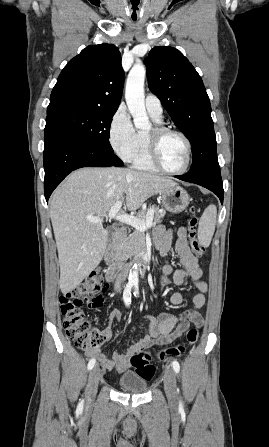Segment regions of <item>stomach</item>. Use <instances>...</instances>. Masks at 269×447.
Here are the masks:
<instances>
[{
	"instance_id": "1",
	"label": "stomach",
	"mask_w": 269,
	"mask_h": 447,
	"mask_svg": "<svg viewBox=\"0 0 269 447\" xmlns=\"http://www.w3.org/2000/svg\"><path fill=\"white\" fill-rule=\"evenodd\" d=\"M161 196L163 208L168 212H173V214H180V212L186 210L191 202L190 196L179 186H170V188L161 192Z\"/></svg>"
}]
</instances>
